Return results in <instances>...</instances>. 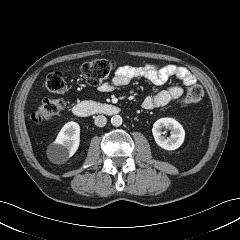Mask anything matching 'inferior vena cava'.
<instances>
[{
	"label": "inferior vena cava",
	"instance_id": "602c4592",
	"mask_svg": "<svg viewBox=\"0 0 240 240\" xmlns=\"http://www.w3.org/2000/svg\"><path fill=\"white\" fill-rule=\"evenodd\" d=\"M106 123H107V119L103 115H98L95 118V125L98 127H104L106 125Z\"/></svg>",
	"mask_w": 240,
	"mask_h": 240
}]
</instances>
